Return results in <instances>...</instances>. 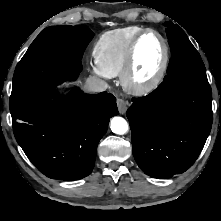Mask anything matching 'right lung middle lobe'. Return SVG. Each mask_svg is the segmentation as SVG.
I'll return each mask as SVG.
<instances>
[{"instance_id":"obj_1","label":"right lung middle lobe","mask_w":221,"mask_h":221,"mask_svg":"<svg viewBox=\"0 0 221 221\" xmlns=\"http://www.w3.org/2000/svg\"><path fill=\"white\" fill-rule=\"evenodd\" d=\"M93 36V32L83 26L45 28L16 67L10 111L57 85L61 73L80 72L83 52Z\"/></svg>"}]
</instances>
